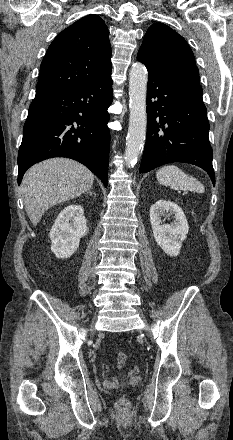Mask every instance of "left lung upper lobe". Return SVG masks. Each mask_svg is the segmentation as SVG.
I'll return each instance as SVG.
<instances>
[{"mask_svg": "<svg viewBox=\"0 0 233 440\" xmlns=\"http://www.w3.org/2000/svg\"><path fill=\"white\" fill-rule=\"evenodd\" d=\"M137 59L156 77L200 86L191 48L182 36L165 24L155 23L149 27Z\"/></svg>", "mask_w": 233, "mask_h": 440, "instance_id": "obj_1", "label": "left lung upper lobe"}]
</instances>
